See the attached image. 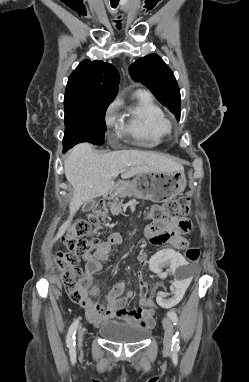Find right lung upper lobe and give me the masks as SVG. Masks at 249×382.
Segmentation results:
<instances>
[{
    "instance_id": "obj_1",
    "label": "right lung upper lobe",
    "mask_w": 249,
    "mask_h": 382,
    "mask_svg": "<svg viewBox=\"0 0 249 382\" xmlns=\"http://www.w3.org/2000/svg\"><path fill=\"white\" fill-rule=\"evenodd\" d=\"M117 69L99 60H84L70 75L64 98V108L93 101H112L118 91Z\"/></svg>"
}]
</instances>
